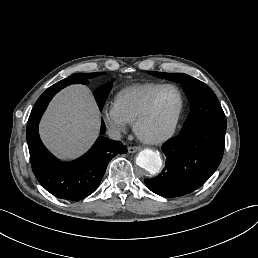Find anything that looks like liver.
Returning a JSON list of instances; mask_svg holds the SVG:
<instances>
[{
  "mask_svg": "<svg viewBox=\"0 0 258 258\" xmlns=\"http://www.w3.org/2000/svg\"><path fill=\"white\" fill-rule=\"evenodd\" d=\"M100 109L87 85L71 84L49 102L38 125L43 145L59 160L73 161L96 142Z\"/></svg>",
  "mask_w": 258,
  "mask_h": 258,
  "instance_id": "liver-1",
  "label": "liver"
}]
</instances>
